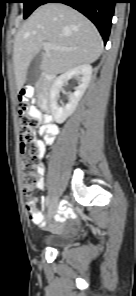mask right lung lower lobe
I'll use <instances>...</instances> for the list:
<instances>
[{
  "instance_id": "98d812e1",
  "label": "right lung lower lobe",
  "mask_w": 136,
  "mask_h": 296,
  "mask_svg": "<svg viewBox=\"0 0 136 296\" xmlns=\"http://www.w3.org/2000/svg\"><path fill=\"white\" fill-rule=\"evenodd\" d=\"M118 0H44L45 3H64L80 11L98 28L104 43L107 42L115 3Z\"/></svg>"
}]
</instances>
